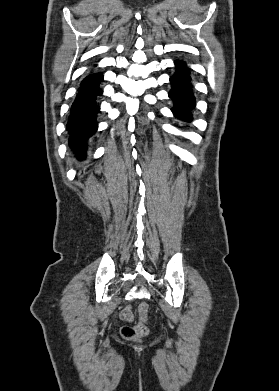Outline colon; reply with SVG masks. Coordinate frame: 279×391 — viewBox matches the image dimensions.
Listing matches in <instances>:
<instances>
[{"label": "colon", "instance_id": "1", "mask_svg": "<svg viewBox=\"0 0 279 391\" xmlns=\"http://www.w3.org/2000/svg\"><path fill=\"white\" fill-rule=\"evenodd\" d=\"M149 316V306L146 303H142L138 307V322L135 326L125 325L121 328L120 334L127 340H140L145 337L148 332L147 320Z\"/></svg>", "mask_w": 279, "mask_h": 391}]
</instances>
